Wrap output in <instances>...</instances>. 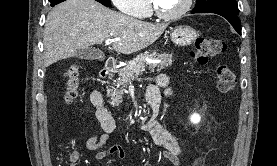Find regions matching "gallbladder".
Instances as JSON below:
<instances>
[{"label": "gallbladder", "instance_id": "1", "mask_svg": "<svg viewBox=\"0 0 277 166\" xmlns=\"http://www.w3.org/2000/svg\"><path fill=\"white\" fill-rule=\"evenodd\" d=\"M75 56H77L80 59L95 60V59H101L102 54H101V52H99L93 48H86V49L78 50L76 52Z\"/></svg>", "mask_w": 277, "mask_h": 166}]
</instances>
